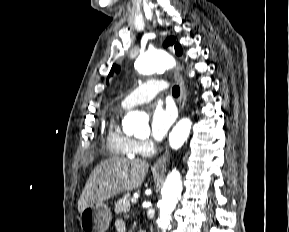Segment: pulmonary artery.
I'll use <instances>...</instances> for the list:
<instances>
[{
  "instance_id": "1",
  "label": "pulmonary artery",
  "mask_w": 289,
  "mask_h": 232,
  "mask_svg": "<svg viewBox=\"0 0 289 232\" xmlns=\"http://www.w3.org/2000/svg\"><path fill=\"white\" fill-rule=\"evenodd\" d=\"M166 83L161 80H150L137 87L130 94H128L123 102L122 106L126 109H130L136 105L152 100L156 95L165 90Z\"/></svg>"
}]
</instances>
